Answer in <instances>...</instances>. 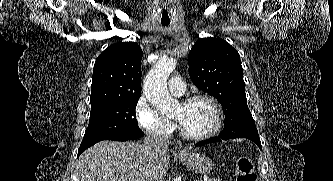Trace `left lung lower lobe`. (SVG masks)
Instances as JSON below:
<instances>
[{"instance_id":"0a47b994","label":"left lung lower lobe","mask_w":333,"mask_h":181,"mask_svg":"<svg viewBox=\"0 0 333 181\" xmlns=\"http://www.w3.org/2000/svg\"><path fill=\"white\" fill-rule=\"evenodd\" d=\"M227 124H229V122H227ZM225 131H226V129H223L218 137H213L211 139L196 143L195 146H202V145L209 144V143L220 142L222 140L238 138V137H234V136L227 134ZM254 143H256L260 149H262L260 142H254Z\"/></svg>"}]
</instances>
